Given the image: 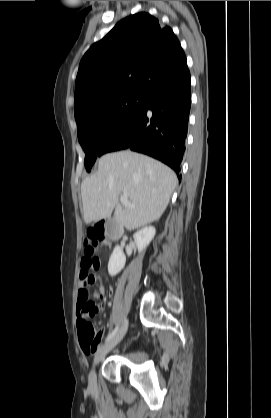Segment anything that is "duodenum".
<instances>
[{
    "mask_svg": "<svg viewBox=\"0 0 271 418\" xmlns=\"http://www.w3.org/2000/svg\"><path fill=\"white\" fill-rule=\"evenodd\" d=\"M117 237H118V235H115V236H114V238H117Z\"/></svg>",
    "mask_w": 271,
    "mask_h": 418,
    "instance_id": "1",
    "label": "duodenum"
}]
</instances>
